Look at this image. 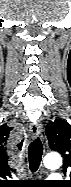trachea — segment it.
<instances>
[{
  "mask_svg": "<svg viewBox=\"0 0 71 187\" xmlns=\"http://www.w3.org/2000/svg\"><path fill=\"white\" fill-rule=\"evenodd\" d=\"M43 154V145L39 138L35 139L28 147L30 170L36 172L40 166Z\"/></svg>",
  "mask_w": 71,
  "mask_h": 187,
  "instance_id": "1",
  "label": "trachea"
}]
</instances>
